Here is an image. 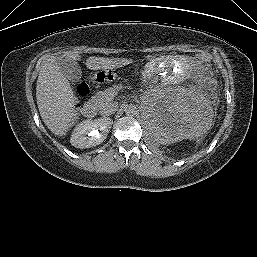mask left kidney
<instances>
[{"label": "left kidney", "mask_w": 257, "mask_h": 257, "mask_svg": "<svg viewBox=\"0 0 257 257\" xmlns=\"http://www.w3.org/2000/svg\"><path fill=\"white\" fill-rule=\"evenodd\" d=\"M143 118L146 130L160 144L197 138L210 122L205 99L182 88L152 94L145 102Z\"/></svg>", "instance_id": "obj_1"}]
</instances>
